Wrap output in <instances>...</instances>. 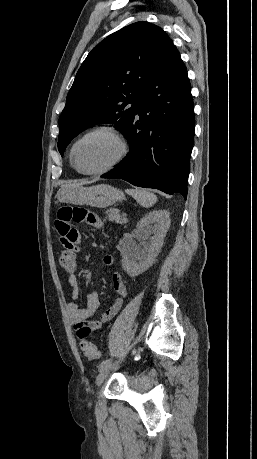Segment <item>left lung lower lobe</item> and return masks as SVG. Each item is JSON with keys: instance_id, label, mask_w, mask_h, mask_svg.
<instances>
[{"instance_id": "0a47b994", "label": "left lung lower lobe", "mask_w": 257, "mask_h": 459, "mask_svg": "<svg viewBox=\"0 0 257 459\" xmlns=\"http://www.w3.org/2000/svg\"><path fill=\"white\" fill-rule=\"evenodd\" d=\"M194 108L187 70L174 47L143 89L124 136L130 151L102 178L123 179L187 198L194 137Z\"/></svg>"}]
</instances>
